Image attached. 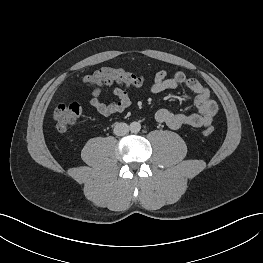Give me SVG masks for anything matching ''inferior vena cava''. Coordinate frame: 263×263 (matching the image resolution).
Masks as SVG:
<instances>
[{
  "mask_svg": "<svg viewBox=\"0 0 263 263\" xmlns=\"http://www.w3.org/2000/svg\"><path fill=\"white\" fill-rule=\"evenodd\" d=\"M130 130V127L126 123H116L114 127V134L117 136H124L126 135Z\"/></svg>",
  "mask_w": 263,
  "mask_h": 263,
  "instance_id": "inferior-vena-cava-1",
  "label": "inferior vena cava"
}]
</instances>
